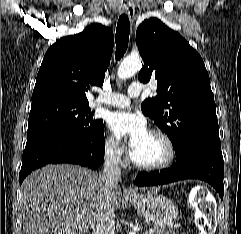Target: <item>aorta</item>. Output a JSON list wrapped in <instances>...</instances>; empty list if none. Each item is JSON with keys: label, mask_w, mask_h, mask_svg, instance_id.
Masks as SVG:
<instances>
[{"label": "aorta", "mask_w": 241, "mask_h": 234, "mask_svg": "<svg viewBox=\"0 0 241 234\" xmlns=\"http://www.w3.org/2000/svg\"><path fill=\"white\" fill-rule=\"evenodd\" d=\"M142 67L139 56H128L120 64L117 75L120 79H128L137 73Z\"/></svg>", "instance_id": "aorta-1"}]
</instances>
